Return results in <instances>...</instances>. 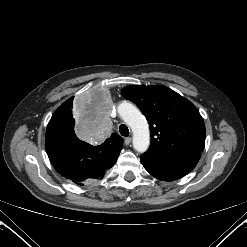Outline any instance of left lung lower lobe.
Here are the masks:
<instances>
[{"label":"left lung lower lobe","instance_id":"obj_1","mask_svg":"<svg viewBox=\"0 0 247 247\" xmlns=\"http://www.w3.org/2000/svg\"><path fill=\"white\" fill-rule=\"evenodd\" d=\"M199 159L200 153L164 154L151 151L140 157L145 169L163 181H172L187 175Z\"/></svg>","mask_w":247,"mask_h":247}]
</instances>
